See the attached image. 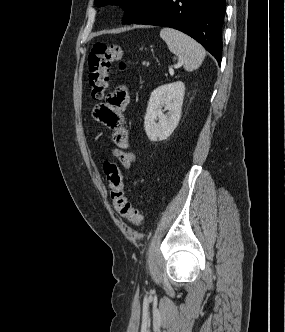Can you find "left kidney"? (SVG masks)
Returning a JSON list of instances; mask_svg holds the SVG:
<instances>
[{
  "instance_id": "1",
  "label": "left kidney",
  "mask_w": 285,
  "mask_h": 332,
  "mask_svg": "<svg viewBox=\"0 0 285 332\" xmlns=\"http://www.w3.org/2000/svg\"><path fill=\"white\" fill-rule=\"evenodd\" d=\"M184 92V83L177 81L162 85L151 93L144 121L149 140H165L175 130L181 117ZM163 107L168 111L167 114L163 113Z\"/></svg>"
}]
</instances>
